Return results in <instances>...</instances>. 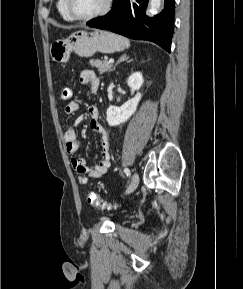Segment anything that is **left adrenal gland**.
<instances>
[{
	"mask_svg": "<svg viewBox=\"0 0 243 289\" xmlns=\"http://www.w3.org/2000/svg\"><path fill=\"white\" fill-rule=\"evenodd\" d=\"M128 59H129V56H127L126 54L121 55V57L118 59V61L114 65L113 69H111V71H113L119 63H121L122 61L128 60Z\"/></svg>",
	"mask_w": 243,
	"mask_h": 289,
	"instance_id": "a2214340",
	"label": "left adrenal gland"
}]
</instances>
